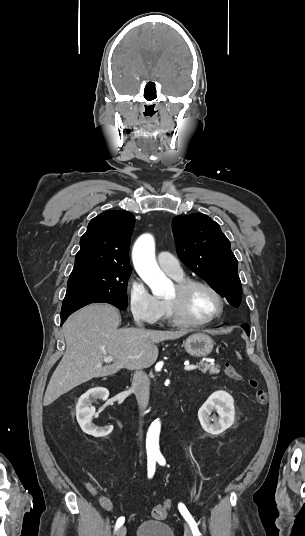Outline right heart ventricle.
Listing matches in <instances>:
<instances>
[{"label": "right heart ventricle", "mask_w": 305, "mask_h": 536, "mask_svg": "<svg viewBox=\"0 0 305 536\" xmlns=\"http://www.w3.org/2000/svg\"><path fill=\"white\" fill-rule=\"evenodd\" d=\"M173 279H175L176 281H183L185 280V276L183 275L182 277H179V278H175L173 277ZM164 304V311H163V319L168 322L169 324L171 325H178L179 323L176 321V319L174 318L173 314L171 313L168 305L166 302H163Z\"/></svg>", "instance_id": "e07e8e85"}]
</instances>
